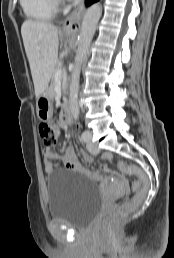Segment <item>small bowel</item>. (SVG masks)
<instances>
[{
    "label": "small bowel",
    "instance_id": "small-bowel-1",
    "mask_svg": "<svg viewBox=\"0 0 174 258\" xmlns=\"http://www.w3.org/2000/svg\"><path fill=\"white\" fill-rule=\"evenodd\" d=\"M43 156H44V170L46 173H51L54 168L57 166V163L55 161H62L64 166L71 170H77V171H85L87 175L92 176L93 179H100L101 175L99 174V171H87L85 170L77 161L76 155L71 147H67L64 151L63 155H59L52 151L51 148L46 147L43 150ZM83 162H92L93 156L87 153H83ZM98 167H107V162H98ZM118 178H121V175H118ZM123 187L126 190H129V186L125 184H129V179H122Z\"/></svg>",
    "mask_w": 174,
    "mask_h": 258
}]
</instances>
